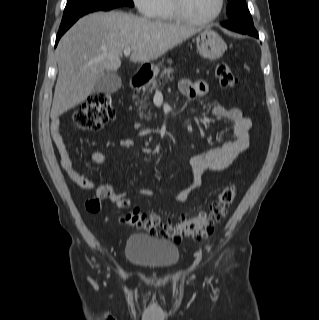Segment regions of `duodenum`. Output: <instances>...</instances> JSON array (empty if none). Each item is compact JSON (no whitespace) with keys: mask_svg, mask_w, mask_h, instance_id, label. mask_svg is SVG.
I'll return each instance as SVG.
<instances>
[{"mask_svg":"<svg viewBox=\"0 0 319 320\" xmlns=\"http://www.w3.org/2000/svg\"><path fill=\"white\" fill-rule=\"evenodd\" d=\"M148 79V76L142 72L137 73L131 78L130 86L133 89H137L140 87L146 80Z\"/></svg>","mask_w":319,"mask_h":320,"instance_id":"1","label":"duodenum"}]
</instances>
